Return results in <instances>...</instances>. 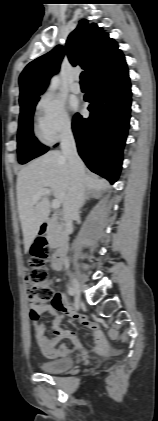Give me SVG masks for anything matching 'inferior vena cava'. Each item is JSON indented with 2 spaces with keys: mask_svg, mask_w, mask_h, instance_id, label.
Wrapping results in <instances>:
<instances>
[{
  "mask_svg": "<svg viewBox=\"0 0 158 421\" xmlns=\"http://www.w3.org/2000/svg\"><path fill=\"white\" fill-rule=\"evenodd\" d=\"M62 154L68 161L71 184L63 201V218L67 235L73 232V218L78 214L85 198V166L80 159L72 129L66 126L61 135Z\"/></svg>",
  "mask_w": 158,
  "mask_h": 421,
  "instance_id": "obj_1",
  "label": "inferior vena cava"
}]
</instances>
